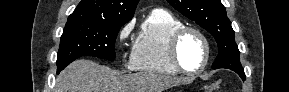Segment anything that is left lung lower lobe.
I'll return each instance as SVG.
<instances>
[{"label":"left lung lower lobe","instance_id":"obj_1","mask_svg":"<svg viewBox=\"0 0 289 92\" xmlns=\"http://www.w3.org/2000/svg\"><path fill=\"white\" fill-rule=\"evenodd\" d=\"M235 72L241 77L243 81L245 80L246 76H245L244 70H236Z\"/></svg>","mask_w":289,"mask_h":92}]
</instances>
